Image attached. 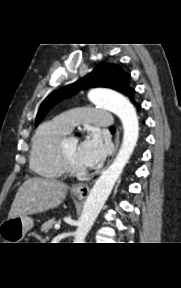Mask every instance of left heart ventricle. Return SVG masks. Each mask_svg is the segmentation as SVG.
<instances>
[{"label": "left heart ventricle", "instance_id": "b2bd125f", "mask_svg": "<svg viewBox=\"0 0 181 288\" xmlns=\"http://www.w3.org/2000/svg\"><path fill=\"white\" fill-rule=\"evenodd\" d=\"M77 149H78V141L74 138H69L64 143V151L70 161L77 168H82L81 165L77 161Z\"/></svg>", "mask_w": 181, "mask_h": 288}]
</instances>
